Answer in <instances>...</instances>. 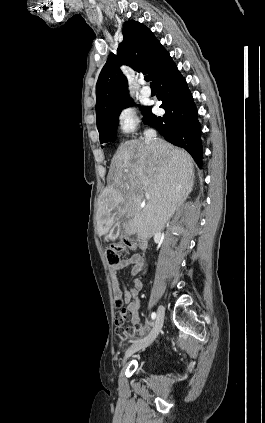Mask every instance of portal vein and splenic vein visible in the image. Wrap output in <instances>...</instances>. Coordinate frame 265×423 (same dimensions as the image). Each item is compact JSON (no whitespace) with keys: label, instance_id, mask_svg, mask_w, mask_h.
I'll return each instance as SVG.
<instances>
[{"label":"portal vein and splenic vein","instance_id":"1","mask_svg":"<svg viewBox=\"0 0 265 423\" xmlns=\"http://www.w3.org/2000/svg\"><path fill=\"white\" fill-rule=\"evenodd\" d=\"M145 197H146V198H149V194H148V193H146V194H145Z\"/></svg>","mask_w":265,"mask_h":423}]
</instances>
